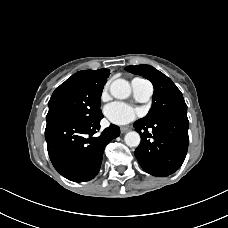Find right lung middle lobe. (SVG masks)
Segmentation results:
<instances>
[{"mask_svg": "<svg viewBox=\"0 0 228 228\" xmlns=\"http://www.w3.org/2000/svg\"><path fill=\"white\" fill-rule=\"evenodd\" d=\"M107 78L86 83L70 77L62 83L48 102L47 125L63 119L91 120L102 114L101 94Z\"/></svg>", "mask_w": 228, "mask_h": 228, "instance_id": "obj_1", "label": "right lung middle lobe"}]
</instances>
